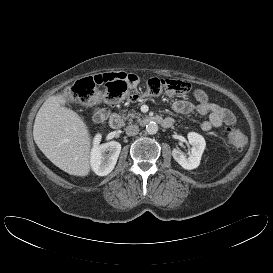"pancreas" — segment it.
I'll return each mask as SVG.
<instances>
[{
	"mask_svg": "<svg viewBox=\"0 0 273 273\" xmlns=\"http://www.w3.org/2000/svg\"><path fill=\"white\" fill-rule=\"evenodd\" d=\"M139 116H140V114H136V113L132 112V113H128L127 115L123 114L122 119L126 120L129 118L130 121H132V119L139 118Z\"/></svg>",
	"mask_w": 273,
	"mask_h": 273,
	"instance_id": "obj_1",
	"label": "pancreas"
}]
</instances>
